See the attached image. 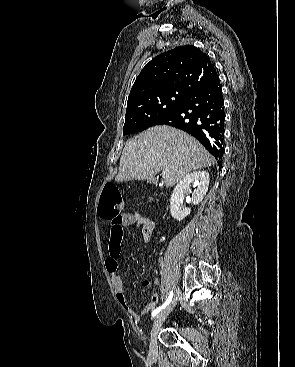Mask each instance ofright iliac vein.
Listing matches in <instances>:
<instances>
[{"label":"right iliac vein","mask_w":295,"mask_h":367,"mask_svg":"<svg viewBox=\"0 0 295 367\" xmlns=\"http://www.w3.org/2000/svg\"><path fill=\"white\" fill-rule=\"evenodd\" d=\"M179 290H177L175 298L156 316L151 333H150V345H149V353L151 356H155L157 354V334L158 331L163 324L164 320L170 314V312L175 307L177 300L179 298Z\"/></svg>","instance_id":"right-iliac-vein-1"}]
</instances>
